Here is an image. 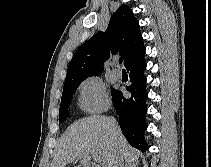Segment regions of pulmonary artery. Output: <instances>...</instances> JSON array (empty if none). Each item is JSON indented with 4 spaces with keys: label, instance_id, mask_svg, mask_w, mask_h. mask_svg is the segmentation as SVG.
I'll list each match as a JSON object with an SVG mask.
<instances>
[{
    "label": "pulmonary artery",
    "instance_id": "obj_1",
    "mask_svg": "<svg viewBox=\"0 0 211 167\" xmlns=\"http://www.w3.org/2000/svg\"><path fill=\"white\" fill-rule=\"evenodd\" d=\"M112 73H113L114 77H116V78H120L122 76L120 69H118L116 67L112 70Z\"/></svg>",
    "mask_w": 211,
    "mask_h": 167
}]
</instances>
